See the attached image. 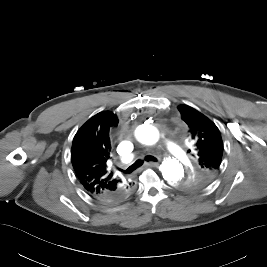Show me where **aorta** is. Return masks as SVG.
<instances>
[{"mask_svg": "<svg viewBox=\"0 0 267 267\" xmlns=\"http://www.w3.org/2000/svg\"><path fill=\"white\" fill-rule=\"evenodd\" d=\"M137 140L145 145H154L159 139V132L156 127L143 124L136 128ZM163 178L170 184L177 186L184 176L182 164L175 158H166L160 165Z\"/></svg>", "mask_w": 267, "mask_h": 267, "instance_id": "762f6f07", "label": "aorta"}]
</instances>
